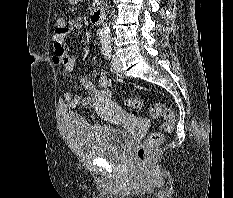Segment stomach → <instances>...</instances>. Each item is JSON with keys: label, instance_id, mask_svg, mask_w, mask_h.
I'll return each mask as SVG.
<instances>
[{"label": "stomach", "instance_id": "0dacf381", "mask_svg": "<svg viewBox=\"0 0 233 198\" xmlns=\"http://www.w3.org/2000/svg\"><path fill=\"white\" fill-rule=\"evenodd\" d=\"M80 0H68V2L71 4V5H75L79 2Z\"/></svg>", "mask_w": 233, "mask_h": 198}]
</instances>
